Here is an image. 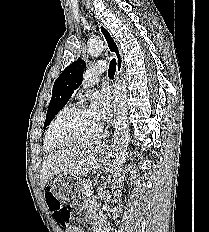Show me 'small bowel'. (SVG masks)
Listing matches in <instances>:
<instances>
[{
    "instance_id": "c3829d8e",
    "label": "small bowel",
    "mask_w": 209,
    "mask_h": 232,
    "mask_svg": "<svg viewBox=\"0 0 209 232\" xmlns=\"http://www.w3.org/2000/svg\"><path fill=\"white\" fill-rule=\"evenodd\" d=\"M88 215L95 221V223L100 220V214L94 206L89 207ZM64 232H82V230L78 227H66L64 228Z\"/></svg>"
}]
</instances>
